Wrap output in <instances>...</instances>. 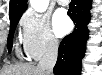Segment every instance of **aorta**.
<instances>
[{
    "label": "aorta",
    "mask_w": 102,
    "mask_h": 75,
    "mask_svg": "<svg viewBox=\"0 0 102 75\" xmlns=\"http://www.w3.org/2000/svg\"><path fill=\"white\" fill-rule=\"evenodd\" d=\"M31 7L37 12H45L48 5L49 0H30Z\"/></svg>",
    "instance_id": "1"
}]
</instances>
